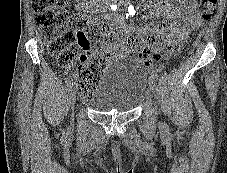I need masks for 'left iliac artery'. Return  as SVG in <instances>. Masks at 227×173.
<instances>
[{
    "label": "left iliac artery",
    "instance_id": "1",
    "mask_svg": "<svg viewBox=\"0 0 227 173\" xmlns=\"http://www.w3.org/2000/svg\"><path fill=\"white\" fill-rule=\"evenodd\" d=\"M150 77L151 78H153L154 80H158V74H157V72L156 71H154V70H152L151 72H150Z\"/></svg>",
    "mask_w": 227,
    "mask_h": 173
}]
</instances>
